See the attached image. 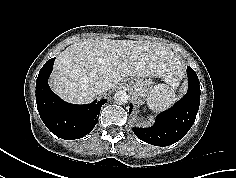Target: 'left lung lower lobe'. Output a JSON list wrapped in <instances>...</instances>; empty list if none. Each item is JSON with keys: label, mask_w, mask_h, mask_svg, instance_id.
<instances>
[{"label": "left lung lower lobe", "mask_w": 236, "mask_h": 178, "mask_svg": "<svg viewBox=\"0 0 236 178\" xmlns=\"http://www.w3.org/2000/svg\"><path fill=\"white\" fill-rule=\"evenodd\" d=\"M189 88L186 95L172 108L159 114L154 126L133 128L135 135L156 146H168L179 141L193 125L200 103V86L196 72L187 67ZM132 110L130 105L129 113Z\"/></svg>", "instance_id": "obj_1"}]
</instances>
